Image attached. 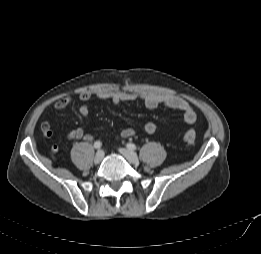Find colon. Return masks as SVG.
<instances>
[{
  "label": "colon",
  "instance_id": "1",
  "mask_svg": "<svg viewBox=\"0 0 261 254\" xmlns=\"http://www.w3.org/2000/svg\"><path fill=\"white\" fill-rule=\"evenodd\" d=\"M50 132L49 131H46V134L48 135ZM195 139H196V134L193 130H188L185 135H184V141H185V144L188 146V147H192L195 143Z\"/></svg>",
  "mask_w": 261,
  "mask_h": 254
}]
</instances>
